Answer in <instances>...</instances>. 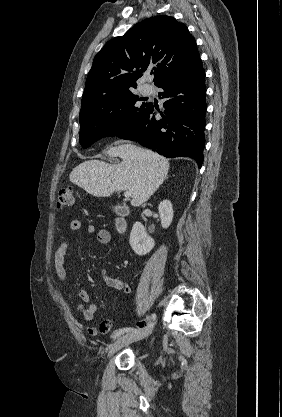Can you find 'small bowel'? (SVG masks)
Masks as SVG:
<instances>
[{
  "label": "small bowel",
  "instance_id": "1",
  "mask_svg": "<svg viewBox=\"0 0 282 417\" xmlns=\"http://www.w3.org/2000/svg\"><path fill=\"white\" fill-rule=\"evenodd\" d=\"M69 228L72 232L78 233L83 228V223L79 219H73L70 224ZM89 233L97 232V239L99 243L101 244H108L111 239L110 232L105 229H96V226L91 224L87 228ZM68 250V244L67 242H62L54 254V265H55V271L58 276V278L62 282L67 281V271L64 267L65 263V256ZM100 279L104 282V284L114 290L121 291L125 294L130 293V286L129 284L116 277H112L109 274H107L105 271H101L99 275ZM79 298L81 302L84 305H80V312L84 318L85 321H90L94 317L96 311H97V305L95 302L92 301L91 296L89 292L85 289L80 290L79 292ZM113 322L110 319H105L100 323L98 327L89 326L86 328V333L89 336H96L98 334H107L111 328H112ZM139 326H142V324H139Z\"/></svg>",
  "mask_w": 282,
  "mask_h": 417
}]
</instances>
